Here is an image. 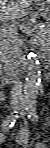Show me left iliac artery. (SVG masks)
<instances>
[{"label": "left iliac artery", "mask_w": 50, "mask_h": 148, "mask_svg": "<svg viewBox=\"0 0 50 148\" xmlns=\"http://www.w3.org/2000/svg\"><path fill=\"white\" fill-rule=\"evenodd\" d=\"M27 111H28V117L32 120V121H38V115L36 114V106L35 103H29V105L27 106Z\"/></svg>", "instance_id": "obj_1"}]
</instances>
